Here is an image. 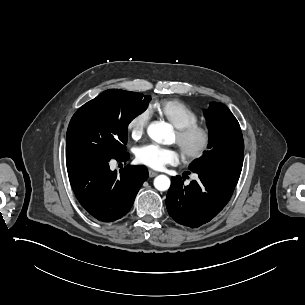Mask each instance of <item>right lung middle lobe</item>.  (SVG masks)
<instances>
[{"label": "right lung middle lobe", "instance_id": "obj_1", "mask_svg": "<svg viewBox=\"0 0 305 305\" xmlns=\"http://www.w3.org/2000/svg\"><path fill=\"white\" fill-rule=\"evenodd\" d=\"M150 96L110 89L73 115L66 136V159L92 157L111 160L126 151L128 124L144 112Z\"/></svg>", "mask_w": 305, "mask_h": 305}]
</instances>
